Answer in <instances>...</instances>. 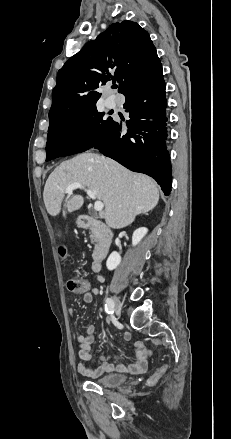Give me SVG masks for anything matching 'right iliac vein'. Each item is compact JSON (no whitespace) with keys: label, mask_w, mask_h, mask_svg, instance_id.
<instances>
[{"label":"right iliac vein","mask_w":231,"mask_h":439,"mask_svg":"<svg viewBox=\"0 0 231 439\" xmlns=\"http://www.w3.org/2000/svg\"><path fill=\"white\" fill-rule=\"evenodd\" d=\"M113 302H114V312L116 315L119 316L121 314V310H122L121 302H120L119 298L116 296L113 297Z\"/></svg>","instance_id":"63e3f726"}]
</instances>
